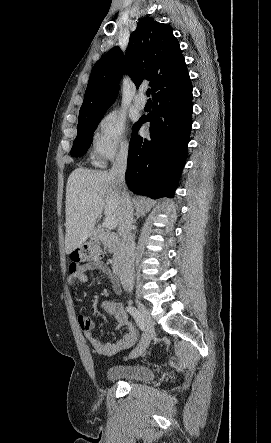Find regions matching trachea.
Segmentation results:
<instances>
[{
	"label": "trachea",
	"mask_w": 271,
	"mask_h": 443,
	"mask_svg": "<svg viewBox=\"0 0 271 443\" xmlns=\"http://www.w3.org/2000/svg\"><path fill=\"white\" fill-rule=\"evenodd\" d=\"M150 93H151V91H150V90H147V97L150 96Z\"/></svg>",
	"instance_id": "3493384b"
}]
</instances>
